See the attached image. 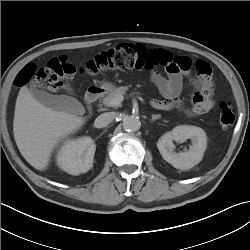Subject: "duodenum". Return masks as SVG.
Segmentation results:
<instances>
[{
    "label": "duodenum",
    "mask_w": 250,
    "mask_h": 250,
    "mask_svg": "<svg viewBox=\"0 0 250 250\" xmlns=\"http://www.w3.org/2000/svg\"><path fill=\"white\" fill-rule=\"evenodd\" d=\"M103 93V89L97 86L91 87L88 89L85 95V103L88 110H92L93 104L100 98ZM151 105L159 109V103L155 100L151 102Z\"/></svg>",
    "instance_id": "1"
}]
</instances>
